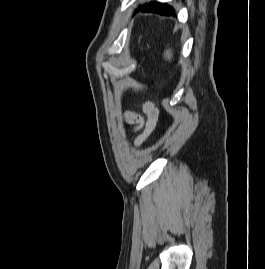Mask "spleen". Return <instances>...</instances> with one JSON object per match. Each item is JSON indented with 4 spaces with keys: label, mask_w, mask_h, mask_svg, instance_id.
Masks as SVG:
<instances>
[{
    "label": "spleen",
    "mask_w": 265,
    "mask_h": 269,
    "mask_svg": "<svg viewBox=\"0 0 265 269\" xmlns=\"http://www.w3.org/2000/svg\"><path fill=\"white\" fill-rule=\"evenodd\" d=\"M172 57V53L170 50H167L166 53H165V58H167L168 60H170Z\"/></svg>",
    "instance_id": "3e777b00"
}]
</instances>
